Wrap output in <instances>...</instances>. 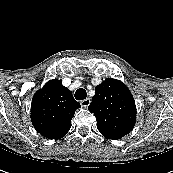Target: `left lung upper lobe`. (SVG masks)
I'll list each match as a JSON object with an SVG mask.
<instances>
[{
  "mask_svg": "<svg viewBox=\"0 0 173 173\" xmlns=\"http://www.w3.org/2000/svg\"><path fill=\"white\" fill-rule=\"evenodd\" d=\"M88 110L94 113L98 130L107 139H120L135 125L134 98L129 89L117 79L107 78L96 86Z\"/></svg>",
  "mask_w": 173,
  "mask_h": 173,
  "instance_id": "left-lung-upper-lobe-1",
  "label": "left lung upper lobe"
}]
</instances>
